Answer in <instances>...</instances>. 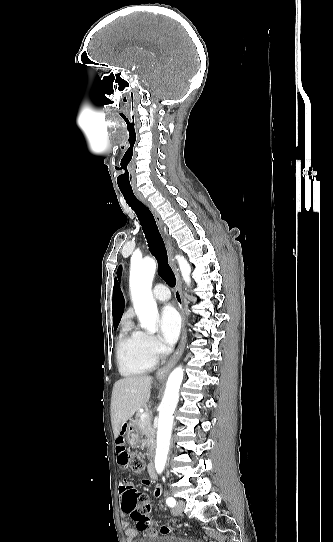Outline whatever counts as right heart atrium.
I'll list each match as a JSON object with an SVG mask.
<instances>
[{"label":"right heart atrium","mask_w":333,"mask_h":542,"mask_svg":"<svg viewBox=\"0 0 333 542\" xmlns=\"http://www.w3.org/2000/svg\"><path fill=\"white\" fill-rule=\"evenodd\" d=\"M144 334V333H143ZM146 346L155 354H159L162 351V345L158 338L153 335L144 334Z\"/></svg>","instance_id":"right-heart-atrium-1"}]
</instances>
